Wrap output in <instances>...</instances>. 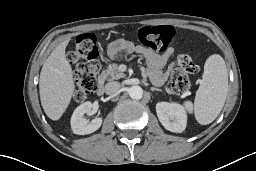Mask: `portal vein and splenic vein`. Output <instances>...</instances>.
<instances>
[{"instance_id":"18ae733b","label":"portal vein and splenic vein","mask_w":256,"mask_h":171,"mask_svg":"<svg viewBox=\"0 0 256 171\" xmlns=\"http://www.w3.org/2000/svg\"><path fill=\"white\" fill-rule=\"evenodd\" d=\"M142 70L145 72V69H144V68H142Z\"/></svg>"}]
</instances>
